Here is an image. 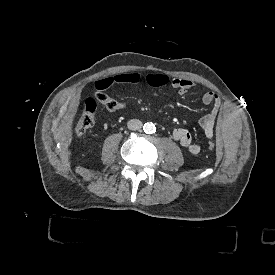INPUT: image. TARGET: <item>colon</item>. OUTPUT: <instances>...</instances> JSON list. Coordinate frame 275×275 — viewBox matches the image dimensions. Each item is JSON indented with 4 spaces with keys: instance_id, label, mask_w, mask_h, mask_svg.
I'll use <instances>...</instances> for the list:
<instances>
[{
    "instance_id": "obj_1",
    "label": "colon",
    "mask_w": 275,
    "mask_h": 275,
    "mask_svg": "<svg viewBox=\"0 0 275 275\" xmlns=\"http://www.w3.org/2000/svg\"><path fill=\"white\" fill-rule=\"evenodd\" d=\"M96 93L99 97H101L102 100H104V105H102L101 107L110 111H116L122 107L119 101L107 96L102 92H96ZM96 111H97V102H95L93 98L90 97L84 105L82 117L76 123L75 131L77 134L82 135L92 127V125L95 122ZM206 149L209 152L214 153L216 152L217 147L213 142H208L206 144Z\"/></svg>"
}]
</instances>
